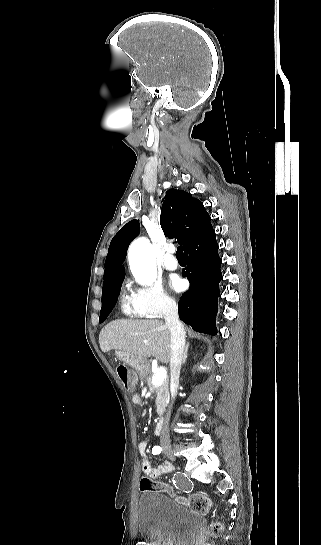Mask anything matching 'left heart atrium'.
Wrapping results in <instances>:
<instances>
[{
	"label": "left heart atrium",
	"mask_w": 321,
	"mask_h": 545,
	"mask_svg": "<svg viewBox=\"0 0 321 545\" xmlns=\"http://www.w3.org/2000/svg\"><path fill=\"white\" fill-rule=\"evenodd\" d=\"M168 284L169 287L174 291H181L183 289V282L177 276L170 277Z\"/></svg>",
	"instance_id": "obj_1"
}]
</instances>
